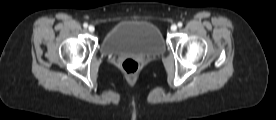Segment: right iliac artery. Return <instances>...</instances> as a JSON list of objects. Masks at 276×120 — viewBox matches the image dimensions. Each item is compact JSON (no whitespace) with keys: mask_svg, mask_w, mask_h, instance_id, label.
I'll return each mask as SVG.
<instances>
[{"mask_svg":"<svg viewBox=\"0 0 276 120\" xmlns=\"http://www.w3.org/2000/svg\"><path fill=\"white\" fill-rule=\"evenodd\" d=\"M83 27H84V28H87V27H88V24H87V23H84V24H83Z\"/></svg>","mask_w":276,"mask_h":120,"instance_id":"right-iliac-artery-1","label":"right iliac artery"}]
</instances>
